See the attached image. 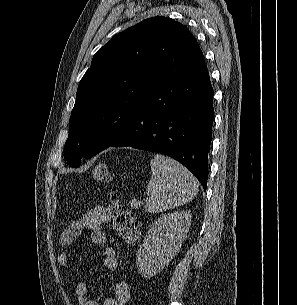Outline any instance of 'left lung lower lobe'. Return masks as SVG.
I'll list each match as a JSON object with an SVG mask.
<instances>
[{
  "label": "left lung lower lobe",
  "mask_w": 297,
  "mask_h": 305,
  "mask_svg": "<svg viewBox=\"0 0 297 305\" xmlns=\"http://www.w3.org/2000/svg\"><path fill=\"white\" fill-rule=\"evenodd\" d=\"M213 118V88L204 67L154 88L104 149L131 146L168 155L186 166L206 190Z\"/></svg>",
  "instance_id": "0a47b994"
}]
</instances>
